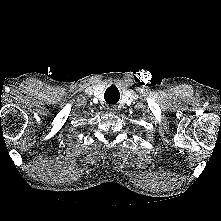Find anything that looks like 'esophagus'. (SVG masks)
Masks as SVG:
<instances>
[{
  "label": "esophagus",
  "instance_id": "34e87169",
  "mask_svg": "<svg viewBox=\"0 0 221 221\" xmlns=\"http://www.w3.org/2000/svg\"><path fill=\"white\" fill-rule=\"evenodd\" d=\"M108 109L111 113H114L117 110L115 106H110Z\"/></svg>",
  "mask_w": 221,
  "mask_h": 221
}]
</instances>
